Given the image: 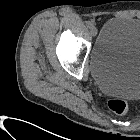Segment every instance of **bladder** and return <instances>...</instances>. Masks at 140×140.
Wrapping results in <instances>:
<instances>
[{
	"instance_id": "1",
	"label": "bladder",
	"mask_w": 140,
	"mask_h": 140,
	"mask_svg": "<svg viewBox=\"0 0 140 140\" xmlns=\"http://www.w3.org/2000/svg\"><path fill=\"white\" fill-rule=\"evenodd\" d=\"M90 68L104 92L140 98V18L118 16L108 20L91 50Z\"/></svg>"
}]
</instances>
